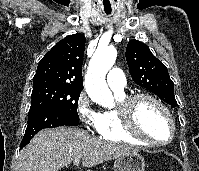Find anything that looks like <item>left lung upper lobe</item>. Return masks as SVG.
Listing matches in <instances>:
<instances>
[{
	"label": "left lung upper lobe",
	"mask_w": 199,
	"mask_h": 171,
	"mask_svg": "<svg viewBox=\"0 0 199 171\" xmlns=\"http://www.w3.org/2000/svg\"><path fill=\"white\" fill-rule=\"evenodd\" d=\"M126 60L135 83L153 92L172 107L177 105L174 83L169 77L168 70L153 56L147 45L130 40L126 48Z\"/></svg>",
	"instance_id": "1"
}]
</instances>
